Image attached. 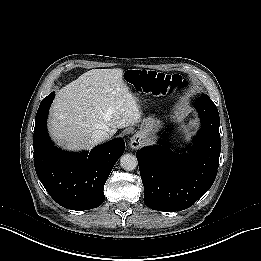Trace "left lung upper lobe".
<instances>
[{"instance_id": "1", "label": "left lung upper lobe", "mask_w": 261, "mask_h": 261, "mask_svg": "<svg viewBox=\"0 0 261 261\" xmlns=\"http://www.w3.org/2000/svg\"><path fill=\"white\" fill-rule=\"evenodd\" d=\"M201 97H205V98L210 99L208 95H202Z\"/></svg>"}]
</instances>
